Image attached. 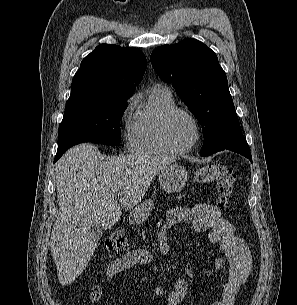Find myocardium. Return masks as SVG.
I'll use <instances>...</instances> for the list:
<instances>
[{
	"label": "myocardium",
	"mask_w": 297,
	"mask_h": 305,
	"mask_svg": "<svg viewBox=\"0 0 297 305\" xmlns=\"http://www.w3.org/2000/svg\"><path fill=\"white\" fill-rule=\"evenodd\" d=\"M176 114H183L188 117L194 125L195 128V138L194 140L185 147H177L172 144L168 135V124L171 118ZM201 126L198 119L188 110L180 107H172L165 111L159 119L158 123V135L161 143L166 147V149L174 154H185L190 152L199 142L201 138Z\"/></svg>",
	"instance_id": "obj_1"
}]
</instances>
